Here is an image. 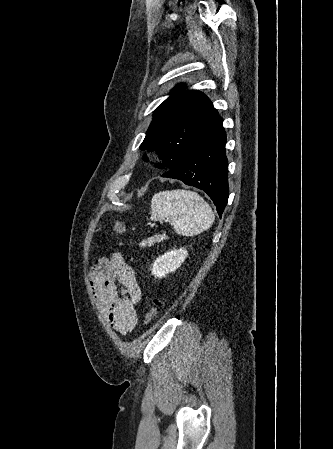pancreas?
Segmentation results:
<instances>
[{
	"label": "pancreas",
	"mask_w": 333,
	"mask_h": 449,
	"mask_svg": "<svg viewBox=\"0 0 333 449\" xmlns=\"http://www.w3.org/2000/svg\"><path fill=\"white\" fill-rule=\"evenodd\" d=\"M166 237L167 236L165 234L152 236V237L148 238L147 240H145L143 242V245H145V246H152L156 242H161Z\"/></svg>",
	"instance_id": "1"
}]
</instances>
